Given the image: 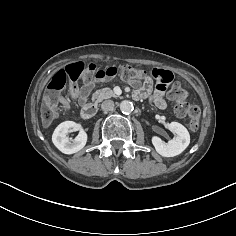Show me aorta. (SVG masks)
<instances>
[{
    "mask_svg": "<svg viewBox=\"0 0 236 236\" xmlns=\"http://www.w3.org/2000/svg\"><path fill=\"white\" fill-rule=\"evenodd\" d=\"M120 110L122 113H131L133 111V104L128 100H124L120 103Z\"/></svg>",
    "mask_w": 236,
    "mask_h": 236,
    "instance_id": "aorta-1",
    "label": "aorta"
}]
</instances>
